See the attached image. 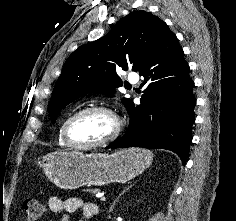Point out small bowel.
I'll return each instance as SVG.
<instances>
[{
  "instance_id": "obj_1",
  "label": "small bowel",
  "mask_w": 236,
  "mask_h": 221,
  "mask_svg": "<svg viewBox=\"0 0 236 221\" xmlns=\"http://www.w3.org/2000/svg\"><path fill=\"white\" fill-rule=\"evenodd\" d=\"M48 208L51 212L59 215L58 221H69V214L78 210H81L86 218H92L99 212V208L95 203L85 202L79 197H50Z\"/></svg>"
}]
</instances>
